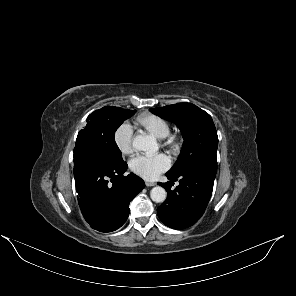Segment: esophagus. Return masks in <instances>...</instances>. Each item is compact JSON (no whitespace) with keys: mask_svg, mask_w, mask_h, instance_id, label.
I'll use <instances>...</instances> for the list:
<instances>
[{"mask_svg":"<svg viewBox=\"0 0 296 296\" xmlns=\"http://www.w3.org/2000/svg\"><path fill=\"white\" fill-rule=\"evenodd\" d=\"M145 185H146L147 187H152V186H155L156 183H155V182L146 181V182H145Z\"/></svg>","mask_w":296,"mask_h":296,"instance_id":"1","label":"esophagus"}]
</instances>
